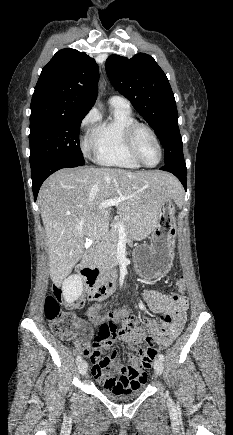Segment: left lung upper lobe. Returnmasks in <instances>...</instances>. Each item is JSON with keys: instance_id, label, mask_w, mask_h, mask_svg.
<instances>
[{"instance_id": "1", "label": "left lung upper lobe", "mask_w": 233, "mask_h": 435, "mask_svg": "<svg viewBox=\"0 0 233 435\" xmlns=\"http://www.w3.org/2000/svg\"><path fill=\"white\" fill-rule=\"evenodd\" d=\"M106 71L116 90L130 100L157 134L165 152L164 163L183 158L174 94L154 58L145 53L131 59L111 55Z\"/></svg>"}]
</instances>
